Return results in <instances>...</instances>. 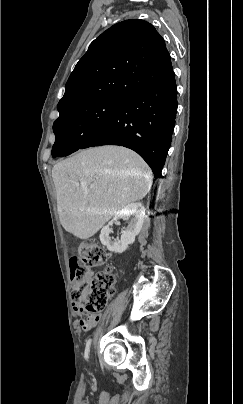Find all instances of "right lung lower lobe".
<instances>
[{
    "label": "right lung lower lobe",
    "mask_w": 243,
    "mask_h": 404,
    "mask_svg": "<svg viewBox=\"0 0 243 404\" xmlns=\"http://www.w3.org/2000/svg\"><path fill=\"white\" fill-rule=\"evenodd\" d=\"M176 112L177 87L172 71L159 83L128 97L80 149L108 144L125 146L136 151L151 167L154 177L160 178Z\"/></svg>",
    "instance_id": "obj_1"
}]
</instances>
